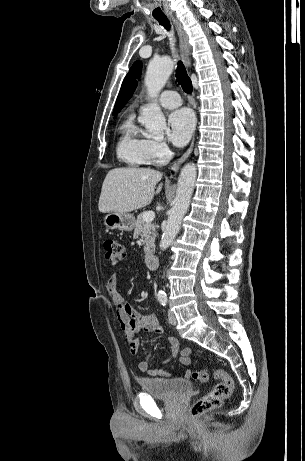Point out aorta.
Wrapping results in <instances>:
<instances>
[{"label":"aorta","mask_w":305,"mask_h":461,"mask_svg":"<svg viewBox=\"0 0 305 461\" xmlns=\"http://www.w3.org/2000/svg\"><path fill=\"white\" fill-rule=\"evenodd\" d=\"M173 71V62L169 57L149 62L145 76V85L151 96H157ZM140 122L153 138H162L166 128L165 117L156 103H151L142 110ZM196 167L186 164L179 175L174 205L170 211L167 225L160 241V249L166 250L180 230L182 218L187 212L196 179ZM159 295H163L160 291Z\"/></svg>","instance_id":"762f6f07"}]
</instances>
